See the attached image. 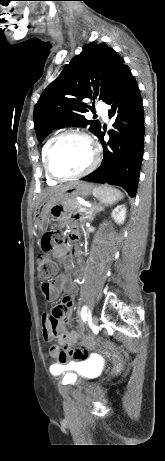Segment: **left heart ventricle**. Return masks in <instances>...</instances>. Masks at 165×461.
<instances>
[{"label":"left heart ventricle","mask_w":165,"mask_h":461,"mask_svg":"<svg viewBox=\"0 0 165 461\" xmlns=\"http://www.w3.org/2000/svg\"><path fill=\"white\" fill-rule=\"evenodd\" d=\"M91 161V150L87 142L77 136H68L55 147L51 166L61 176L73 175L84 170Z\"/></svg>","instance_id":"b2bd125f"}]
</instances>
